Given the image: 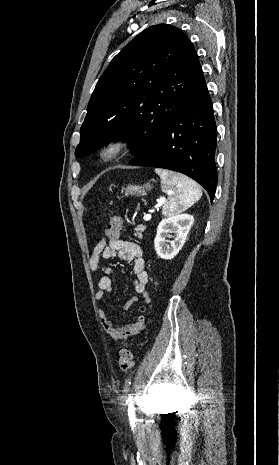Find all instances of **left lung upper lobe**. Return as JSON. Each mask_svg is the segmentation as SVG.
<instances>
[{
    "instance_id": "5c2ea615",
    "label": "left lung upper lobe",
    "mask_w": 279,
    "mask_h": 465,
    "mask_svg": "<svg viewBox=\"0 0 279 465\" xmlns=\"http://www.w3.org/2000/svg\"><path fill=\"white\" fill-rule=\"evenodd\" d=\"M200 67L192 42L180 29L159 24L142 31L100 77L75 155L123 139L135 158L140 156L180 111Z\"/></svg>"
}]
</instances>
